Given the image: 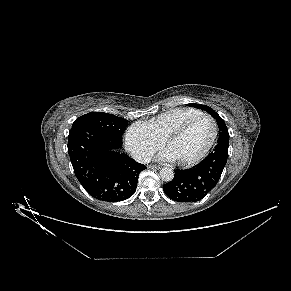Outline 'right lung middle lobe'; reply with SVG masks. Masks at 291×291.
Here are the masks:
<instances>
[{"label": "right lung middle lobe", "instance_id": "right-lung-middle-lobe-1", "mask_svg": "<svg viewBox=\"0 0 291 291\" xmlns=\"http://www.w3.org/2000/svg\"><path fill=\"white\" fill-rule=\"evenodd\" d=\"M127 126L128 120L124 118L103 112H90L77 118L71 130L93 127L103 134L114 138L116 141L122 142V135Z\"/></svg>", "mask_w": 291, "mask_h": 291}]
</instances>
